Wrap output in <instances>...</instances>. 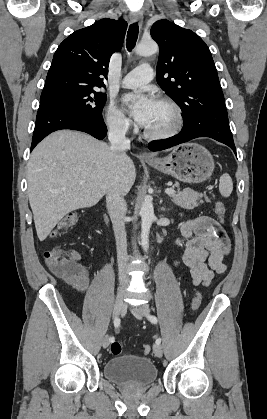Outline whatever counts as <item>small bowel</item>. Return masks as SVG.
I'll use <instances>...</instances> for the list:
<instances>
[{
  "instance_id": "c3829d8e",
  "label": "small bowel",
  "mask_w": 267,
  "mask_h": 419,
  "mask_svg": "<svg viewBox=\"0 0 267 419\" xmlns=\"http://www.w3.org/2000/svg\"><path fill=\"white\" fill-rule=\"evenodd\" d=\"M181 234L187 239L182 263L189 269L192 283L208 286L215 273L221 274L226 270L224 259L230 252V241L225 230L214 219L203 216L185 222ZM177 244L180 245L181 241L177 240ZM178 264L175 261V265ZM65 281L80 293H85L89 286V273L84 269L81 275L66 277Z\"/></svg>"
}]
</instances>
